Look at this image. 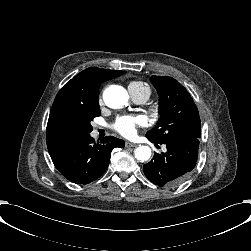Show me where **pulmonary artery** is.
I'll use <instances>...</instances> for the list:
<instances>
[{"instance_id":"1","label":"pulmonary artery","mask_w":251,"mask_h":251,"mask_svg":"<svg viewBox=\"0 0 251 251\" xmlns=\"http://www.w3.org/2000/svg\"><path fill=\"white\" fill-rule=\"evenodd\" d=\"M151 87V86H150ZM152 89V88H151ZM137 102H139V103H143V102H145V101H137Z\"/></svg>"}]
</instances>
